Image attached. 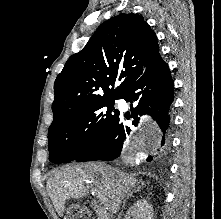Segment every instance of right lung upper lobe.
Wrapping results in <instances>:
<instances>
[{
	"label": "right lung upper lobe",
	"mask_w": 221,
	"mask_h": 219,
	"mask_svg": "<svg viewBox=\"0 0 221 219\" xmlns=\"http://www.w3.org/2000/svg\"><path fill=\"white\" fill-rule=\"evenodd\" d=\"M158 52L156 34L142 16L120 14L102 23L55 80L53 122L83 105L121 98ZM116 79L121 84L114 89Z\"/></svg>",
	"instance_id": "obj_1"
}]
</instances>
